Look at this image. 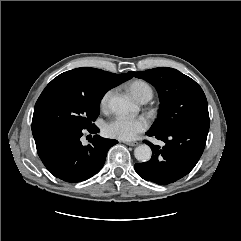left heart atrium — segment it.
Wrapping results in <instances>:
<instances>
[{"mask_svg": "<svg viewBox=\"0 0 241 241\" xmlns=\"http://www.w3.org/2000/svg\"><path fill=\"white\" fill-rule=\"evenodd\" d=\"M147 127L148 121L144 117L117 116L105 124L104 133L108 137L128 141L145 131Z\"/></svg>", "mask_w": 241, "mask_h": 241, "instance_id": "obj_1", "label": "left heart atrium"}]
</instances>
